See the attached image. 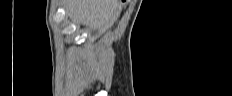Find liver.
<instances>
[{
    "instance_id": "1",
    "label": "liver",
    "mask_w": 232,
    "mask_h": 96,
    "mask_svg": "<svg viewBox=\"0 0 232 96\" xmlns=\"http://www.w3.org/2000/svg\"><path fill=\"white\" fill-rule=\"evenodd\" d=\"M65 4L74 22L92 29L113 21L122 8L120 0H66Z\"/></svg>"
}]
</instances>
